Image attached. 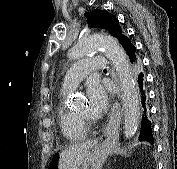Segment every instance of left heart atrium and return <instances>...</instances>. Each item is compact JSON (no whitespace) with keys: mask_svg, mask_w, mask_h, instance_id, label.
I'll return each instance as SVG.
<instances>
[{"mask_svg":"<svg viewBox=\"0 0 177 169\" xmlns=\"http://www.w3.org/2000/svg\"><path fill=\"white\" fill-rule=\"evenodd\" d=\"M89 112L99 117L108 106V96L105 88L96 81H89L86 86Z\"/></svg>","mask_w":177,"mask_h":169,"instance_id":"39dd6f15","label":"left heart atrium"}]
</instances>
